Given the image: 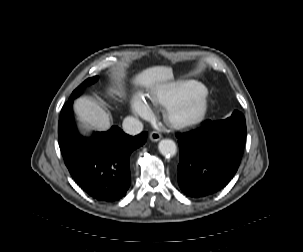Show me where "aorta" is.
I'll return each instance as SVG.
<instances>
[{
    "label": "aorta",
    "instance_id": "762f6f07",
    "mask_svg": "<svg viewBox=\"0 0 303 252\" xmlns=\"http://www.w3.org/2000/svg\"><path fill=\"white\" fill-rule=\"evenodd\" d=\"M159 152L165 157H171L176 154L177 147L173 140L162 139L158 144Z\"/></svg>",
    "mask_w": 303,
    "mask_h": 252
}]
</instances>
